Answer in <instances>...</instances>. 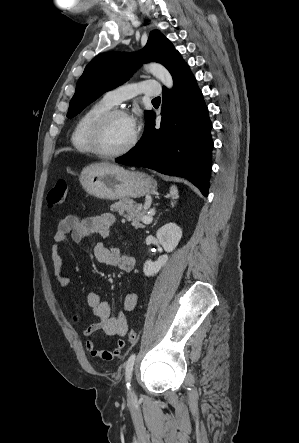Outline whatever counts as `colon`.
<instances>
[{"label":"colon","mask_w":299,"mask_h":443,"mask_svg":"<svg viewBox=\"0 0 299 443\" xmlns=\"http://www.w3.org/2000/svg\"><path fill=\"white\" fill-rule=\"evenodd\" d=\"M68 193V184L65 180H58L47 196V204L50 208H54L64 203ZM126 337L131 344H135L138 339V335L135 330L130 329Z\"/></svg>","instance_id":"obj_1"}]
</instances>
